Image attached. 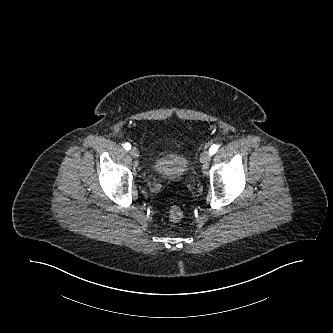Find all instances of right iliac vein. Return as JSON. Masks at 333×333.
I'll list each match as a JSON object with an SVG mask.
<instances>
[{"instance_id": "1", "label": "right iliac vein", "mask_w": 333, "mask_h": 333, "mask_svg": "<svg viewBox=\"0 0 333 333\" xmlns=\"http://www.w3.org/2000/svg\"><path fill=\"white\" fill-rule=\"evenodd\" d=\"M129 153L133 158H137L139 156V151L135 147L131 148Z\"/></svg>"}]
</instances>
